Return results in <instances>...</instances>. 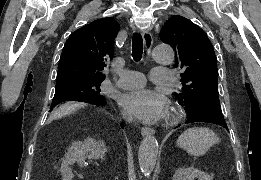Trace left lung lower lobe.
Here are the masks:
<instances>
[{"instance_id":"left-lung-lower-lobe-1","label":"left lung lower lobe","mask_w":261,"mask_h":180,"mask_svg":"<svg viewBox=\"0 0 261 180\" xmlns=\"http://www.w3.org/2000/svg\"><path fill=\"white\" fill-rule=\"evenodd\" d=\"M194 122H209L220 125L228 130L223 114L214 111H202L197 114L187 113V120L185 123Z\"/></svg>"}]
</instances>
